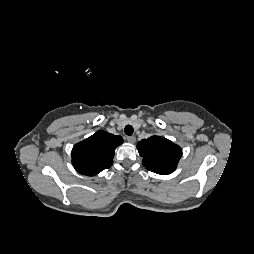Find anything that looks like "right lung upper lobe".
Segmentation results:
<instances>
[{
    "instance_id": "obj_1",
    "label": "right lung upper lobe",
    "mask_w": 254,
    "mask_h": 254,
    "mask_svg": "<svg viewBox=\"0 0 254 254\" xmlns=\"http://www.w3.org/2000/svg\"><path fill=\"white\" fill-rule=\"evenodd\" d=\"M123 143L121 136L98 131L72 149V164L78 173L94 176L111 167L115 149Z\"/></svg>"
}]
</instances>
